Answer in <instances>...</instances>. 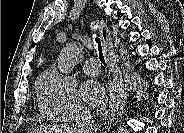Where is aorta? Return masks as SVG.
I'll use <instances>...</instances> for the list:
<instances>
[{
  "label": "aorta",
  "instance_id": "1",
  "mask_svg": "<svg viewBox=\"0 0 184 133\" xmlns=\"http://www.w3.org/2000/svg\"><path fill=\"white\" fill-rule=\"evenodd\" d=\"M81 46L77 43L67 44L58 56V69L63 74H69L77 64Z\"/></svg>",
  "mask_w": 184,
  "mask_h": 133
}]
</instances>
